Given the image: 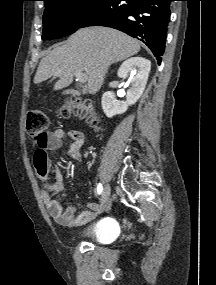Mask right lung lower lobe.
I'll return each instance as SVG.
<instances>
[{"instance_id": "right-lung-lower-lobe-1", "label": "right lung lower lobe", "mask_w": 216, "mask_h": 285, "mask_svg": "<svg viewBox=\"0 0 216 285\" xmlns=\"http://www.w3.org/2000/svg\"><path fill=\"white\" fill-rule=\"evenodd\" d=\"M174 0H105L81 25L112 27L144 42L161 63L170 3Z\"/></svg>"}]
</instances>
